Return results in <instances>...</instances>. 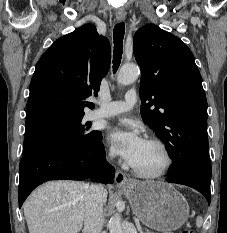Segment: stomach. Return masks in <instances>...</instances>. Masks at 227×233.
I'll return each instance as SVG.
<instances>
[{"label":"stomach","mask_w":227,"mask_h":233,"mask_svg":"<svg viewBox=\"0 0 227 233\" xmlns=\"http://www.w3.org/2000/svg\"><path fill=\"white\" fill-rule=\"evenodd\" d=\"M134 214L153 230L170 233L187 220L189 206L186 199L164 182H134L123 188Z\"/></svg>","instance_id":"stomach-1"}]
</instances>
